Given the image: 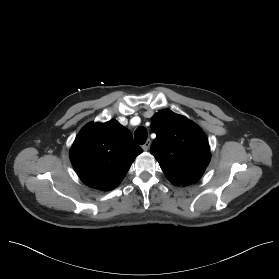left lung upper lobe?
<instances>
[{"label": "left lung upper lobe", "mask_w": 279, "mask_h": 279, "mask_svg": "<svg viewBox=\"0 0 279 279\" xmlns=\"http://www.w3.org/2000/svg\"><path fill=\"white\" fill-rule=\"evenodd\" d=\"M157 135L150 152L174 185L196 183L209 161L210 148L203 131L186 117L161 110L151 118Z\"/></svg>", "instance_id": "obj_1"}]
</instances>
